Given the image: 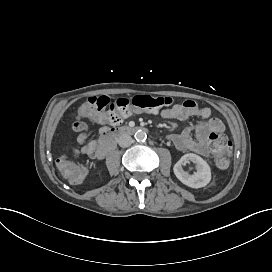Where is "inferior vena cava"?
<instances>
[{
	"label": "inferior vena cava",
	"mask_w": 272,
	"mask_h": 272,
	"mask_svg": "<svg viewBox=\"0 0 272 272\" xmlns=\"http://www.w3.org/2000/svg\"><path fill=\"white\" fill-rule=\"evenodd\" d=\"M118 143L121 147H128L132 144V137L128 134H123L119 137Z\"/></svg>",
	"instance_id": "602c4592"
}]
</instances>
